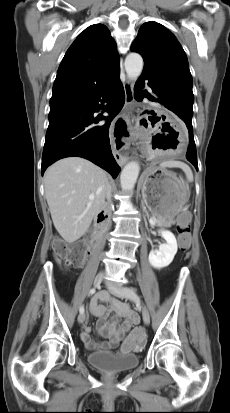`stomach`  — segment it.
Instances as JSON below:
<instances>
[{
  "label": "stomach",
  "mask_w": 230,
  "mask_h": 413,
  "mask_svg": "<svg viewBox=\"0 0 230 413\" xmlns=\"http://www.w3.org/2000/svg\"><path fill=\"white\" fill-rule=\"evenodd\" d=\"M142 196L152 215L158 221H165L173 219L183 209L188 187L175 173L152 166L144 173Z\"/></svg>",
  "instance_id": "0dacf381"
}]
</instances>
